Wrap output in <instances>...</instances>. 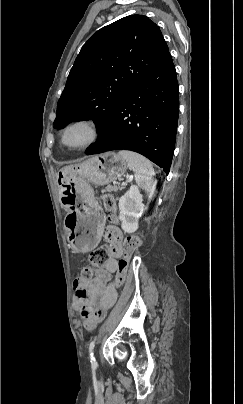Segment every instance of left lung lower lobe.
I'll use <instances>...</instances> for the list:
<instances>
[{
  "label": "left lung lower lobe",
  "mask_w": 243,
  "mask_h": 404,
  "mask_svg": "<svg viewBox=\"0 0 243 404\" xmlns=\"http://www.w3.org/2000/svg\"><path fill=\"white\" fill-rule=\"evenodd\" d=\"M179 115V90L171 55L141 80L99 130L86 154L138 152L169 173Z\"/></svg>",
  "instance_id": "left-lung-lower-lobe-1"
}]
</instances>
